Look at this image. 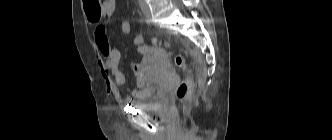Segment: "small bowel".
<instances>
[{"instance_id": "obj_1", "label": "small bowel", "mask_w": 332, "mask_h": 140, "mask_svg": "<svg viewBox=\"0 0 332 140\" xmlns=\"http://www.w3.org/2000/svg\"><path fill=\"white\" fill-rule=\"evenodd\" d=\"M117 0H102L100 18L111 19L115 12ZM92 23H98V20H93L88 17ZM94 40L97 49V61L100 67L101 75L106 83L108 92L119 96L117 86H122L126 83L125 74L119 67L121 52L111 43L107 34L106 27L98 23L94 31ZM145 38L143 35H136L133 39V46L137 53L145 55L149 52V47L145 45ZM136 74V89L126 98L127 101L133 98H142L147 95L150 85H148L147 78L140 65L135 66Z\"/></svg>"}]
</instances>
